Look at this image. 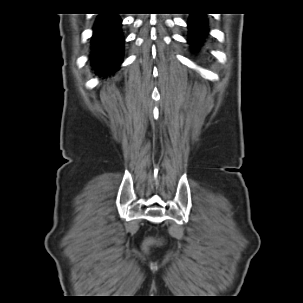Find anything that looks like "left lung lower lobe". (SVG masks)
I'll list each match as a JSON object with an SVG mask.
<instances>
[{
	"instance_id": "obj_1",
	"label": "left lung lower lobe",
	"mask_w": 303,
	"mask_h": 303,
	"mask_svg": "<svg viewBox=\"0 0 303 303\" xmlns=\"http://www.w3.org/2000/svg\"><path fill=\"white\" fill-rule=\"evenodd\" d=\"M191 40L200 44L206 33V20L203 14H192L188 23Z\"/></svg>"
}]
</instances>
